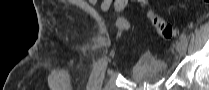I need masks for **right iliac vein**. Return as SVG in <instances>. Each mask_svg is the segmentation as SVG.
Segmentation results:
<instances>
[{
    "label": "right iliac vein",
    "instance_id": "obj_1",
    "mask_svg": "<svg viewBox=\"0 0 209 90\" xmlns=\"http://www.w3.org/2000/svg\"><path fill=\"white\" fill-rule=\"evenodd\" d=\"M106 66H107V63L104 62L102 67H101V74H100V76L98 78V81L96 83L95 90H100V88H101L102 76H103V73H104V70H105Z\"/></svg>",
    "mask_w": 209,
    "mask_h": 90
}]
</instances>
